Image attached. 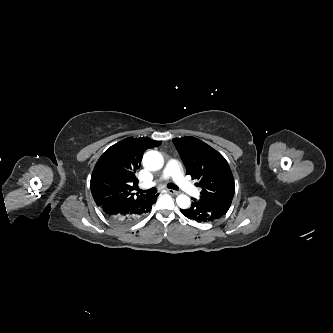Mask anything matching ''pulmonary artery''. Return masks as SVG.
I'll return each instance as SVG.
<instances>
[{"mask_svg":"<svg viewBox=\"0 0 333 333\" xmlns=\"http://www.w3.org/2000/svg\"><path fill=\"white\" fill-rule=\"evenodd\" d=\"M168 178H172L174 182L187 194L192 196L199 195V189L184 177L180 163L175 159L168 161V163L166 164L165 168L162 171L160 180H166ZM157 182L158 181H153L152 183L146 185L145 187L153 186Z\"/></svg>","mask_w":333,"mask_h":333,"instance_id":"obj_1","label":"pulmonary artery"}]
</instances>
